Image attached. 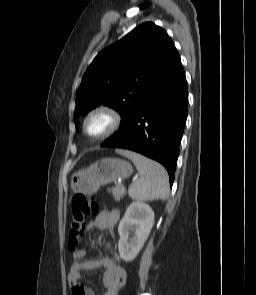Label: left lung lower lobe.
Wrapping results in <instances>:
<instances>
[{
	"label": "left lung lower lobe",
	"instance_id": "0a47b994",
	"mask_svg": "<svg viewBox=\"0 0 256 295\" xmlns=\"http://www.w3.org/2000/svg\"><path fill=\"white\" fill-rule=\"evenodd\" d=\"M187 115V83L180 62L101 147L132 150L160 162L169 173L171 186Z\"/></svg>",
	"mask_w": 256,
	"mask_h": 295
}]
</instances>
